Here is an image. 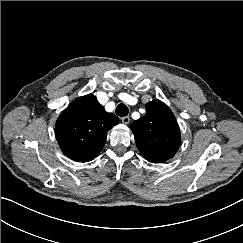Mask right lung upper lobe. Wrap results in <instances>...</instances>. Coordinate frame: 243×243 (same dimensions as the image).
I'll return each instance as SVG.
<instances>
[{
	"instance_id": "cb5924a9",
	"label": "right lung upper lobe",
	"mask_w": 243,
	"mask_h": 243,
	"mask_svg": "<svg viewBox=\"0 0 243 243\" xmlns=\"http://www.w3.org/2000/svg\"><path fill=\"white\" fill-rule=\"evenodd\" d=\"M119 118L107 113L93 94L72 102L59 116L55 136L63 153L77 162L93 160L105 145L107 132Z\"/></svg>"
}]
</instances>
